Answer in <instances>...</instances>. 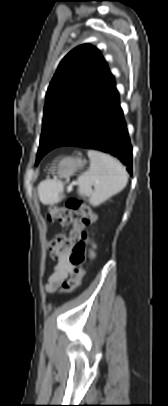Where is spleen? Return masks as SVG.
<instances>
[{
	"mask_svg": "<svg viewBox=\"0 0 168 406\" xmlns=\"http://www.w3.org/2000/svg\"><path fill=\"white\" fill-rule=\"evenodd\" d=\"M90 166L78 178V194L88 197L96 207L122 191L128 181L125 167L114 157L95 150L88 151ZM94 186V189H92ZM64 183L47 179L39 184V197L44 204L58 203L62 199Z\"/></svg>",
	"mask_w": 168,
	"mask_h": 406,
	"instance_id": "spleen-1",
	"label": "spleen"
}]
</instances>
